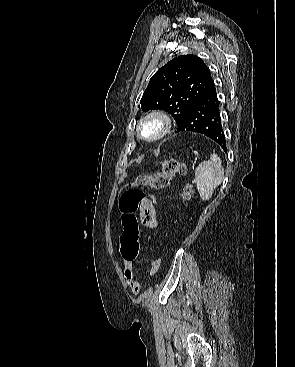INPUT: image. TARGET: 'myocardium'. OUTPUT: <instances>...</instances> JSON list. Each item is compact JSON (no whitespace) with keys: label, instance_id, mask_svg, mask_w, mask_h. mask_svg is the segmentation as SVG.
Segmentation results:
<instances>
[{"label":"myocardium","instance_id":"f54148a6","mask_svg":"<svg viewBox=\"0 0 295 367\" xmlns=\"http://www.w3.org/2000/svg\"><path fill=\"white\" fill-rule=\"evenodd\" d=\"M149 123H156L158 125L157 131L151 135L146 136L143 133V127ZM172 129V120L168 113L162 110H152L144 114L137 123V134L139 138L146 142H157L166 137Z\"/></svg>","mask_w":295,"mask_h":367}]
</instances>
